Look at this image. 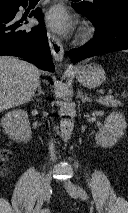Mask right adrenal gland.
I'll list each match as a JSON object with an SVG mask.
<instances>
[{
    "label": "right adrenal gland",
    "instance_id": "2a0ac1e0",
    "mask_svg": "<svg viewBox=\"0 0 128 213\" xmlns=\"http://www.w3.org/2000/svg\"><path fill=\"white\" fill-rule=\"evenodd\" d=\"M44 95V93H43V91H42V89H41V85H40V83L38 84V90H37V94L36 95H34V97H36V96H38V95Z\"/></svg>",
    "mask_w": 128,
    "mask_h": 213
}]
</instances>
